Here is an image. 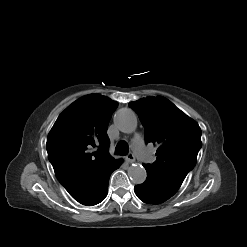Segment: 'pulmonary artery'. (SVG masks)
Here are the masks:
<instances>
[{
	"label": "pulmonary artery",
	"instance_id": "1",
	"mask_svg": "<svg viewBox=\"0 0 247 247\" xmlns=\"http://www.w3.org/2000/svg\"><path fill=\"white\" fill-rule=\"evenodd\" d=\"M134 149L135 152L145 161L150 160L151 155L150 152L147 150V148L145 147L142 138L138 137L135 139L134 142Z\"/></svg>",
	"mask_w": 247,
	"mask_h": 247
}]
</instances>
